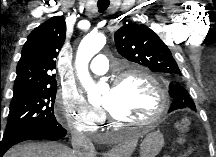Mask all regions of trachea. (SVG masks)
<instances>
[{"mask_svg": "<svg viewBox=\"0 0 216 157\" xmlns=\"http://www.w3.org/2000/svg\"><path fill=\"white\" fill-rule=\"evenodd\" d=\"M109 4H110L109 1H101V0H99L97 2L99 12L105 11L109 7Z\"/></svg>", "mask_w": 216, "mask_h": 157, "instance_id": "1", "label": "trachea"}]
</instances>
